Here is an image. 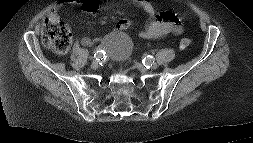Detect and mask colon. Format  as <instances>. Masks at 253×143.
Instances as JSON below:
<instances>
[{
    "label": "colon",
    "instance_id": "5ec220e1",
    "mask_svg": "<svg viewBox=\"0 0 253 143\" xmlns=\"http://www.w3.org/2000/svg\"><path fill=\"white\" fill-rule=\"evenodd\" d=\"M43 44L57 53H65L70 48L72 34L69 27L59 20L47 19L42 30ZM191 44L190 38H183L180 41L182 49Z\"/></svg>",
    "mask_w": 253,
    "mask_h": 143
}]
</instances>
